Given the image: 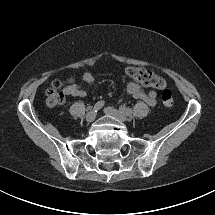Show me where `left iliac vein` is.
Segmentation results:
<instances>
[{"label":"left iliac vein","mask_w":215,"mask_h":215,"mask_svg":"<svg viewBox=\"0 0 215 215\" xmlns=\"http://www.w3.org/2000/svg\"><path fill=\"white\" fill-rule=\"evenodd\" d=\"M104 111H105L108 115H110V116L116 118V119L119 120V121L125 122V121H128V120H129V116H128V115H126L125 113H123V112H121V111H118V110H116V109H114V108H112V107H106V108L104 109Z\"/></svg>","instance_id":"1"}]
</instances>
